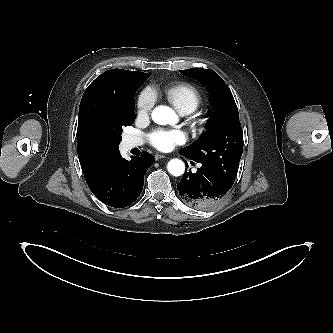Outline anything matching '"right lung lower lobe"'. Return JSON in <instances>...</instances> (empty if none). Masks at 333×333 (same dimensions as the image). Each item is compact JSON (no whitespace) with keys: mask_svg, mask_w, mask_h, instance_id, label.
<instances>
[{"mask_svg":"<svg viewBox=\"0 0 333 333\" xmlns=\"http://www.w3.org/2000/svg\"><path fill=\"white\" fill-rule=\"evenodd\" d=\"M153 162L154 157L145 151L140 157L134 156L130 161L123 159L119 153L106 176L92 190L93 194L108 206H129L139 197L143 189L144 175Z\"/></svg>","mask_w":333,"mask_h":333,"instance_id":"right-lung-lower-lobe-1","label":"right lung lower lobe"}]
</instances>
